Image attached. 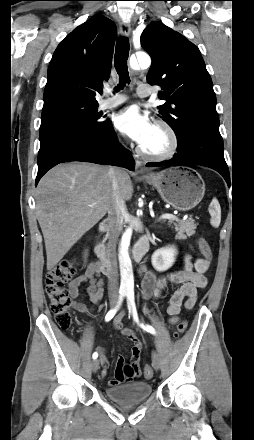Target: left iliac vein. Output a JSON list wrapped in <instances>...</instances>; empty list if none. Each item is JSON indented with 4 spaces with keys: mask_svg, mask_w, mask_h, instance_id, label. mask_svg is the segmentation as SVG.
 <instances>
[{
    "mask_svg": "<svg viewBox=\"0 0 254 440\" xmlns=\"http://www.w3.org/2000/svg\"><path fill=\"white\" fill-rule=\"evenodd\" d=\"M152 365L156 370H159L161 367V358L157 352L152 354Z\"/></svg>",
    "mask_w": 254,
    "mask_h": 440,
    "instance_id": "4c4485c4",
    "label": "left iliac vein"
}]
</instances>
